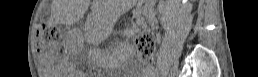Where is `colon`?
<instances>
[{"label":"colon","instance_id":"obj_1","mask_svg":"<svg viewBox=\"0 0 258 77\" xmlns=\"http://www.w3.org/2000/svg\"><path fill=\"white\" fill-rule=\"evenodd\" d=\"M39 45L45 47L60 38V32L56 28L42 23L37 28ZM136 49L139 60L143 64H150L153 60L156 49V37L150 30L140 32L136 37Z\"/></svg>","mask_w":258,"mask_h":77}]
</instances>
